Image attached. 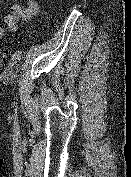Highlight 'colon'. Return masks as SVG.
<instances>
[{
    "label": "colon",
    "instance_id": "1",
    "mask_svg": "<svg viewBox=\"0 0 131 177\" xmlns=\"http://www.w3.org/2000/svg\"><path fill=\"white\" fill-rule=\"evenodd\" d=\"M4 62V54H0V68L2 67Z\"/></svg>",
    "mask_w": 131,
    "mask_h": 177
}]
</instances>
